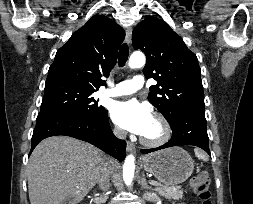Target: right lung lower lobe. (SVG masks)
<instances>
[{
	"mask_svg": "<svg viewBox=\"0 0 253 204\" xmlns=\"http://www.w3.org/2000/svg\"><path fill=\"white\" fill-rule=\"evenodd\" d=\"M56 135L89 142L120 161L125 158L126 142L114 136L107 111L98 119L66 112H40L32 136L30 153L41 140Z\"/></svg>",
	"mask_w": 253,
	"mask_h": 204,
	"instance_id": "obj_1",
	"label": "right lung lower lobe"
}]
</instances>
